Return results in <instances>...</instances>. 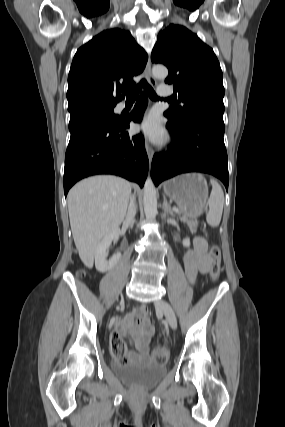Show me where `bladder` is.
<instances>
[{
    "label": "bladder",
    "instance_id": "31cf9c89",
    "mask_svg": "<svg viewBox=\"0 0 285 427\" xmlns=\"http://www.w3.org/2000/svg\"><path fill=\"white\" fill-rule=\"evenodd\" d=\"M114 372L127 382L143 388L154 386L166 374V368L162 365H154L145 362H115Z\"/></svg>",
    "mask_w": 285,
    "mask_h": 427
}]
</instances>
